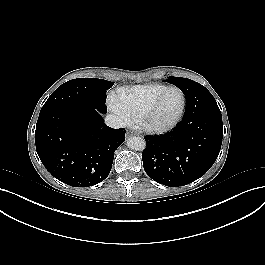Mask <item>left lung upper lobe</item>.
<instances>
[{
  "mask_svg": "<svg viewBox=\"0 0 265 265\" xmlns=\"http://www.w3.org/2000/svg\"><path fill=\"white\" fill-rule=\"evenodd\" d=\"M166 81L169 83H173L175 86L180 88L182 92H184L185 90L189 89L192 86H200L205 91L206 103L213 105V106H218L214 97L211 95V93L204 86L200 85L199 83L193 80H190L187 78H181V77H168Z\"/></svg>",
  "mask_w": 265,
  "mask_h": 265,
  "instance_id": "1",
  "label": "left lung upper lobe"
}]
</instances>
